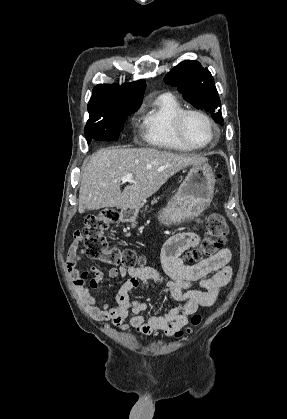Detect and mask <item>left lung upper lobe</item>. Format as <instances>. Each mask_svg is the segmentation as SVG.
<instances>
[{"label": "left lung upper lobe", "mask_w": 287, "mask_h": 419, "mask_svg": "<svg viewBox=\"0 0 287 419\" xmlns=\"http://www.w3.org/2000/svg\"><path fill=\"white\" fill-rule=\"evenodd\" d=\"M164 81L176 86L185 100L197 109L211 113L216 123H223L221 101L214 85V79L208 69L198 61L186 60L174 67Z\"/></svg>", "instance_id": "5c2ea615"}]
</instances>
